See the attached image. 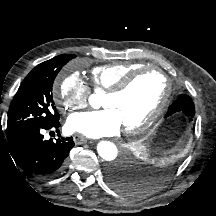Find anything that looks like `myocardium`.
Instances as JSON below:
<instances>
[{
	"mask_svg": "<svg viewBox=\"0 0 216 216\" xmlns=\"http://www.w3.org/2000/svg\"><path fill=\"white\" fill-rule=\"evenodd\" d=\"M148 71H155L157 72L165 82V90L163 96L157 105V107L139 124L132 126V127H125L123 132L127 135H134L139 134L147 129H149L165 112L167 106L170 101L172 87L171 82L165 72L157 66H142L124 76L114 87L107 90L105 95L107 96H118L126 92L133 81L140 76L141 74L148 72Z\"/></svg>",
	"mask_w": 216,
	"mask_h": 216,
	"instance_id": "1",
	"label": "myocardium"
}]
</instances>
